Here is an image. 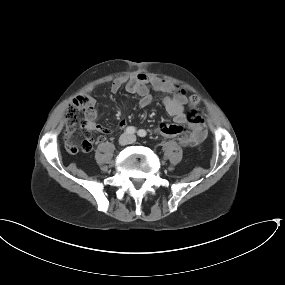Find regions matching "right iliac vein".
I'll use <instances>...</instances> for the list:
<instances>
[{"mask_svg":"<svg viewBox=\"0 0 285 285\" xmlns=\"http://www.w3.org/2000/svg\"><path fill=\"white\" fill-rule=\"evenodd\" d=\"M130 139H131V138H130L129 135L124 134V135H122V136L119 138V144H120L121 146H124V145H126V144L129 143Z\"/></svg>","mask_w":285,"mask_h":285,"instance_id":"right-iliac-vein-1","label":"right iliac vein"}]
</instances>
